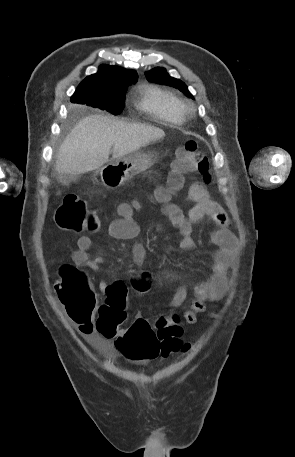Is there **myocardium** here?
<instances>
[{
    "mask_svg": "<svg viewBox=\"0 0 295 457\" xmlns=\"http://www.w3.org/2000/svg\"><path fill=\"white\" fill-rule=\"evenodd\" d=\"M182 110H183V112H187L189 110V106L182 104Z\"/></svg>",
    "mask_w": 295,
    "mask_h": 457,
    "instance_id": "obj_1",
    "label": "myocardium"
}]
</instances>
